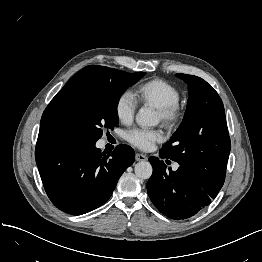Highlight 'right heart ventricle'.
<instances>
[{"label":"right heart ventricle","instance_id":"obj_1","mask_svg":"<svg viewBox=\"0 0 262 262\" xmlns=\"http://www.w3.org/2000/svg\"><path fill=\"white\" fill-rule=\"evenodd\" d=\"M180 97L178 89L168 81L155 78L140 84L134 92L137 102L156 108L177 103Z\"/></svg>","mask_w":262,"mask_h":262}]
</instances>
